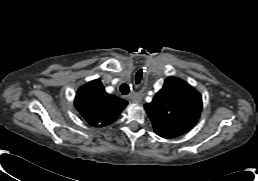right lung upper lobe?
Segmentation results:
<instances>
[{
	"label": "right lung upper lobe",
	"instance_id": "1",
	"mask_svg": "<svg viewBox=\"0 0 258 181\" xmlns=\"http://www.w3.org/2000/svg\"><path fill=\"white\" fill-rule=\"evenodd\" d=\"M127 104V101L106 93L98 79L80 87L75 97L77 110L96 127L112 124Z\"/></svg>",
	"mask_w": 258,
	"mask_h": 181
}]
</instances>
